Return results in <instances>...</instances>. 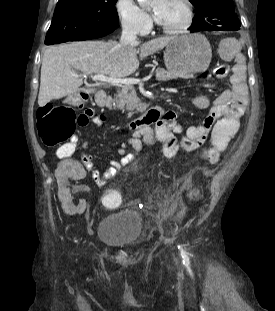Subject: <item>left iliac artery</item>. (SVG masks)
Segmentation results:
<instances>
[{
  "mask_svg": "<svg viewBox=\"0 0 275 311\" xmlns=\"http://www.w3.org/2000/svg\"><path fill=\"white\" fill-rule=\"evenodd\" d=\"M178 249L180 250L181 256L183 258V263L187 262L189 260L186 251L182 248L181 245H178Z\"/></svg>",
  "mask_w": 275,
  "mask_h": 311,
  "instance_id": "obj_1",
  "label": "left iliac artery"
}]
</instances>
